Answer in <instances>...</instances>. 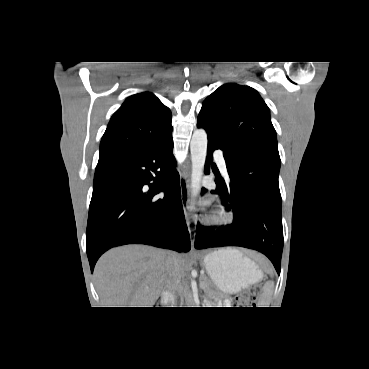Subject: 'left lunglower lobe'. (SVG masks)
Instances as JSON below:
<instances>
[{"label":"left lung lower lobe","instance_id":"left-lung-lower-lobe-1","mask_svg":"<svg viewBox=\"0 0 369 369\" xmlns=\"http://www.w3.org/2000/svg\"><path fill=\"white\" fill-rule=\"evenodd\" d=\"M197 127H203L197 123ZM204 128V127H203ZM208 134V133H207ZM223 150L208 134L205 172L209 174L212 153ZM230 182L218 178L211 193L221 196L222 205L234 214L232 224L215 229L197 224L195 248L241 246L265 254L280 274L283 249V228L280 191L262 181L241 182L231 175V159L223 152ZM206 190L203 188L202 193Z\"/></svg>","mask_w":369,"mask_h":369}]
</instances>
